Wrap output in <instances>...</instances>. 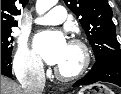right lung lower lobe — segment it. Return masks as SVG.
<instances>
[{
    "label": "right lung lower lobe",
    "mask_w": 121,
    "mask_h": 94,
    "mask_svg": "<svg viewBox=\"0 0 121 94\" xmlns=\"http://www.w3.org/2000/svg\"><path fill=\"white\" fill-rule=\"evenodd\" d=\"M1 74L12 76L11 57L1 56Z\"/></svg>",
    "instance_id": "right-lung-lower-lobe-1"
}]
</instances>
